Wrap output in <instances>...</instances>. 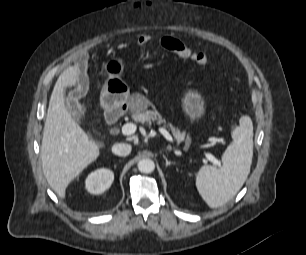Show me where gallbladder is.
Masks as SVG:
<instances>
[{
    "label": "gallbladder",
    "instance_id": "bac80fb5",
    "mask_svg": "<svg viewBox=\"0 0 306 255\" xmlns=\"http://www.w3.org/2000/svg\"><path fill=\"white\" fill-rule=\"evenodd\" d=\"M66 104L68 111L71 113L79 108V103L76 97V91L69 92L68 96L66 97ZM77 118L78 116H75V119Z\"/></svg>",
    "mask_w": 306,
    "mask_h": 255
}]
</instances>
